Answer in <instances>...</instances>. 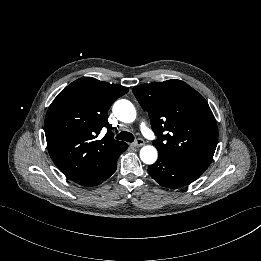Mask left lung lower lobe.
<instances>
[{
    "mask_svg": "<svg viewBox=\"0 0 261 261\" xmlns=\"http://www.w3.org/2000/svg\"><path fill=\"white\" fill-rule=\"evenodd\" d=\"M208 166L174 155H159L148 166L150 176L161 186L180 188L196 180Z\"/></svg>",
    "mask_w": 261,
    "mask_h": 261,
    "instance_id": "obj_1",
    "label": "left lung lower lobe"
}]
</instances>
